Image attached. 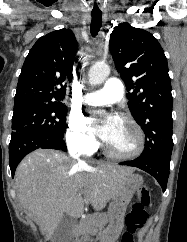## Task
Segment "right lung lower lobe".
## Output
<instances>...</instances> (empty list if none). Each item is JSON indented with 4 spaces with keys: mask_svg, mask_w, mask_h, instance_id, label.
<instances>
[{
    "mask_svg": "<svg viewBox=\"0 0 187 242\" xmlns=\"http://www.w3.org/2000/svg\"><path fill=\"white\" fill-rule=\"evenodd\" d=\"M38 148L67 151L61 137L29 132L12 133L9 144V165L12 177L23 157Z\"/></svg>",
    "mask_w": 187,
    "mask_h": 242,
    "instance_id": "1",
    "label": "right lung lower lobe"
}]
</instances>
